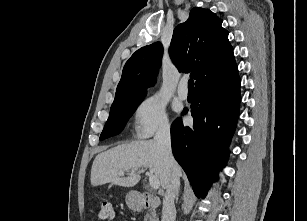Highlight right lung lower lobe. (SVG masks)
I'll list each match as a JSON object with an SVG mask.
<instances>
[{"label": "right lung lower lobe", "instance_id": "right-lung-lower-lobe-1", "mask_svg": "<svg viewBox=\"0 0 307 221\" xmlns=\"http://www.w3.org/2000/svg\"><path fill=\"white\" fill-rule=\"evenodd\" d=\"M240 100V79L237 78L195 94L191 105L193 127L184 126L181 118L172 124V151L196 196L206 195L218 171L225 166Z\"/></svg>", "mask_w": 307, "mask_h": 221}]
</instances>
